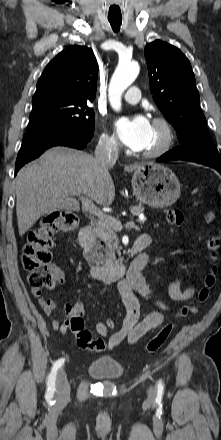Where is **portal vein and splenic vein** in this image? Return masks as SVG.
Listing matches in <instances>:
<instances>
[{"mask_svg":"<svg viewBox=\"0 0 221 440\" xmlns=\"http://www.w3.org/2000/svg\"><path fill=\"white\" fill-rule=\"evenodd\" d=\"M80 199L82 201L84 209L86 211H88L90 214L98 217V219H100L101 221H105V222L109 223L115 230H117V231L122 230L123 225L121 224V222L118 221L117 219L111 217L110 215L105 214L101 210H99L95 206V204L92 202L91 199H89L88 197H84V196H81ZM125 227H128V228L135 227L134 221L127 222L125 224Z\"/></svg>","mask_w":221,"mask_h":440,"instance_id":"1","label":"portal vein and splenic vein"}]
</instances>
